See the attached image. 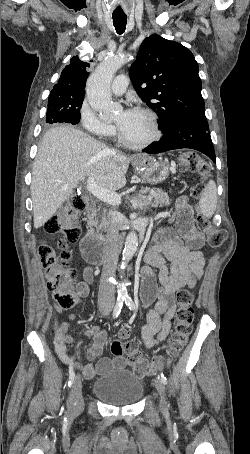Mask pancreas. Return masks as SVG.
I'll return each instance as SVG.
<instances>
[{"label":"pancreas","instance_id":"obj_1","mask_svg":"<svg viewBox=\"0 0 250 454\" xmlns=\"http://www.w3.org/2000/svg\"><path fill=\"white\" fill-rule=\"evenodd\" d=\"M150 195L152 196L153 202L150 204L155 207V206H166L169 205V197L166 193H164L160 189H154L150 191ZM91 226L95 227L96 232H97V238L103 240L104 236L102 232L105 230V219L101 213H98L94 215L93 220L91 222Z\"/></svg>","mask_w":250,"mask_h":454}]
</instances>
